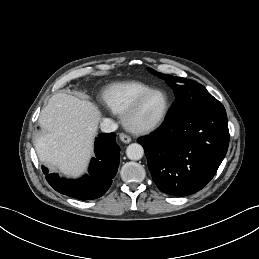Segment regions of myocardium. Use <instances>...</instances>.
I'll return each mask as SVG.
<instances>
[{"label":"myocardium","mask_w":259,"mask_h":259,"mask_svg":"<svg viewBox=\"0 0 259 259\" xmlns=\"http://www.w3.org/2000/svg\"><path fill=\"white\" fill-rule=\"evenodd\" d=\"M157 92L163 93L166 97V106H165V109H164L162 115L156 121H154L152 123L144 124V125L136 124L133 121L135 115L137 114V112L139 111V109L141 108L143 103L152 94L157 93ZM170 109H171V100H170L168 93L163 89L153 88V89L149 90L148 92L144 93L142 96H140L125 111V113L122 116V122H123L124 126L126 127V129H128L130 132H132L134 134H147V133H150V132L156 130L165 122V120L168 117V114L170 112Z\"/></svg>","instance_id":"f54148a6"}]
</instances>
